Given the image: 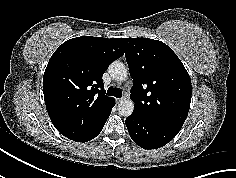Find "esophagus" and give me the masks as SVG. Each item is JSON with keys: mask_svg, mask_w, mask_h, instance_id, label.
<instances>
[{"mask_svg": "<svg viewBox=\"0 0 236 178\" xmlns=\"http://www.w3.org/2000/svg\"><path fill=\"white\" fill-rule=\"evenodd\" d=\"M123 100H124V98H117L116 103L118 104V103L122 102Z\"/></svg>", "mask_w": 236, "mask_h": 178, "instance_id": "1", "label": "esophagus"}]
</instances>
